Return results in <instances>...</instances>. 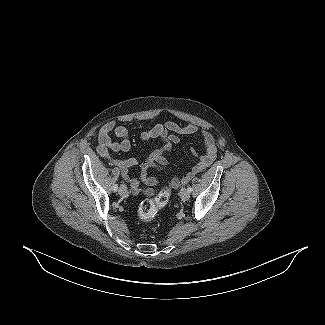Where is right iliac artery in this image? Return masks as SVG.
<instances>
[{"label": "right iliac artery", "mask_w": 325, "mask_h": 325, "mask_svg": "<svg viewBox=\"0 0 325 325\" xmlns=\"http://www.w3.org/2000/svg\"><path fill=\"white\" fill-rule=\"evenodd\" d=\"M117 190H118V185L115 184V185L113 186V191L116 192Z\"/></svg>", "instance_id": "right-iliac-artery-1"}]
</instances>
